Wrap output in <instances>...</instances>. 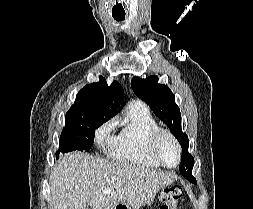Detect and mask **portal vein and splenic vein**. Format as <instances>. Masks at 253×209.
<instances>
[{"mask_svg": "<svg viewBox=\"0 0 253 209\" xmlns=\"http://www.w3.org/2000/svg\"><path fill=\"white\" fill-rule=\"evenodd\" d=\"M104 192H109V190H104Z\"/></svg>", "mask_w": 253, "mask_h": 209, "instance_id": "1", "label": "portal vein and splenic vein"}]
</instances>
